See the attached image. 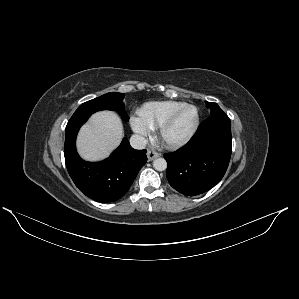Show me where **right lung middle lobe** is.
I'll return each mask as SVG.
<instances>
[{"mask_svg": "<svg viewBox=\"0 0 299 299\" xmlns=\"http://www.w3.org/2000/svg\"><path fill=\"white\" fill-rule=\"evenodd\" d=\"M124 94L111 92L102 95L98 98L92 99L81 104L75 111L73 116L78 115H91L96 111L100 110H115L118 111L125 121H128L129 117L124 111L123 103Z\"/></svg>", "mask_w": 299, "mask_h": 299, "instance_id": "dd1d6c3e", "label": "right lung middle lobe"}]
</instances>
